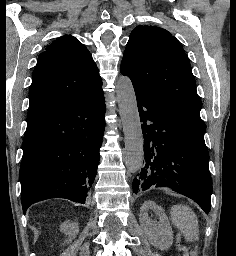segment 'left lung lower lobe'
<instances>
[{"label":"left lung lower lobe","instance_id":"obj_1","mask_svg":"<svg viewBox=\"0 0 236 256\" xmlns=\"http://www.w3.org/2000/svg\"><path fill=\"white\" fill-rule=\"evenodd\" d=\"M143 122L145 166L133 181L135 193L171 187L196 201L205 213L211 206L212 179L200 115L135 90Z\"/></svg>","mask_w":236,"mask_h":256}]
</instances>
